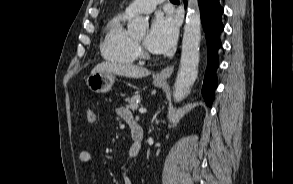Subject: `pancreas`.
<instances>
[{"label":"pancreas","instance_id":"pancreas-1","mask_svg":"<svg viewBox=\"0 0 293 184\" xmlns=\"http://www.w3.org/2000/svg\"><path fill=\"white\" fill-rule=\"evenodd\" d=\"M141 97L139 95H134L130 99L127 98L126 102H128V107L134 111L139 107Z\"/></svg>","mask_w":293,"mask_h":184}]
</instances>
